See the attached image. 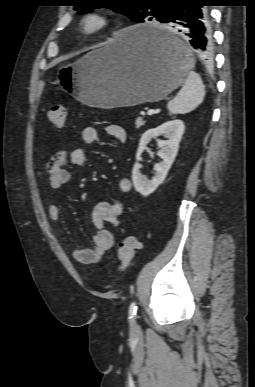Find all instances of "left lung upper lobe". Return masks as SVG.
I'll use <instances>...</instances> for the list:
<instances>
[{"mask_svg":"<svg viewBox=\"0 0 255 387\" xmlns=\"http://www.w3.org/2000/svg\"><path fill=\"white\" fill-rule=\"evenodd\" d=\"M181 0H74V9L79 14L93 11L95 8L107 7L143 23L153 20L161 22L168 4Z\"/></svg>","mask_w":255,"mask_h":387,"instance_id":"obj_1","label":"left lung upper lobe"}]
</instances>
